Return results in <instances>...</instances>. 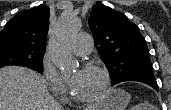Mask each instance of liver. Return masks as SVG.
<instances>
[{"label": "liver", "instance_id": "6515ba94", "mask_svg": "<svg viewBox=\"0 0 171 110\" xmlns=\"http://www.w3.org/2000/svg\"><path fill=\"white\" fill-rule=\"evenodd\" d=\"M95 108V105L88 107ZM0 110H62L49 94L46 80L19 66L0 69Z\"/></svg>", "mask_w": 171, "mask_h": 110}]
</instances>
